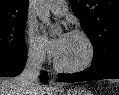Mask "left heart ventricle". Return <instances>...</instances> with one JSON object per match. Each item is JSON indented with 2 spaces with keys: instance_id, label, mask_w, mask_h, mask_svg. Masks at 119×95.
<instances>
[{
  "instance_id": "1",
  "label": "left heart ventricle",
  "mask_w": 119,
  "mask_h": 95,
  "mask_svg": "<svg viewBox=\"0 0 119 95\" xmlns=\"http://www.w3.org/2000/svg\"><path fill=\"white\" fill-rule=\"evenodd\" d=\"M87 55L85 42L78 36L69 34L61 54L57 61L65 66H75L82 63Z\"/></svg>"
}]
</instances>
